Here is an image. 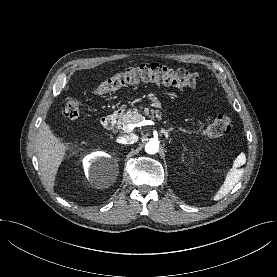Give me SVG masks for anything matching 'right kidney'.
Returning <instances> with one entry per match:
<instances>
[{"label": "right kidney", "mask_w": 277, "mask_h": 277, "mask_svg": "<svg viewBox=\"0 0 277 277\" xmlns=\"http://www.w3.org/2000/svg\"><path fill=\"white\" fill-rule=\"evenodd\" d=\"M109 155L103 152H94L83 159L84 168L87 176L93 173V168L100 162H108Z\"/></svg>", "instance_id": "ca27d5eb"}]
</instances>
